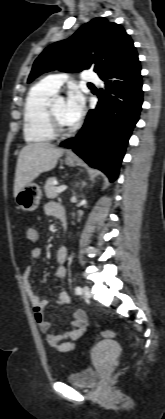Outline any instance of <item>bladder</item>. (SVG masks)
<instances>
[{"label":"bladder","mask_w":165,"mask_h":419,"mask_svg":"<svg viewBox=\"0 0 165 419\" xmlns=\"http://www.w3.org/2000/svg\"><path fill=\"white\" fill-rule=\"evenodd\" d=\"M99 374L94 368H85L66 376V382L76 387L90 388L98 381Z\"/></svg>","instance_id":"31cf9c89"}]
</instances>
